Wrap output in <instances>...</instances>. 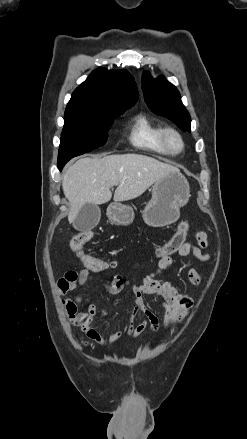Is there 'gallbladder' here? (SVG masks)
I'll use <instances>...</instances> for the list:
<instances>
[{
    "mask_svg": "<svg viewBox=\"0 0 247 439\" xmlns=\"http://www.w3.org/2000/svg\"><path fill=\"white\" fill-rule=\"evenodd\" d=\"M100 217L101 210L99 206L86 203L73 221V227L78 231H89L98 224Z\"/></svg>",
    "mask_w": 247,
    "mask_h": 439,
    "instance_id": "bac80fb5",
    "label": "gallbladder"
}]
</instances>
